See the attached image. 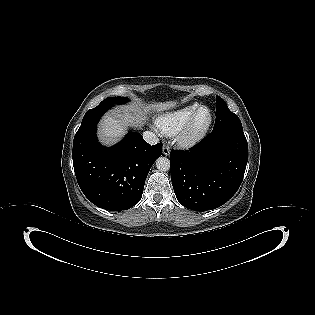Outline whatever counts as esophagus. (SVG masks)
<instances>
[{"label": "esophagus", "instance_id": "1", "mask_svg": "<svg viewBox=\"0 0 315 315\" xmlns=\"http://www.w3.org/2000/svg\"><path fill=\"white\" fill-rule=\"evenodd\" d=\"M162 152L165 156H168L170 154V148L167 145L163 146Z\"/></svg>", "mask_w": 315, "mask_h": 315}]
</instances>
